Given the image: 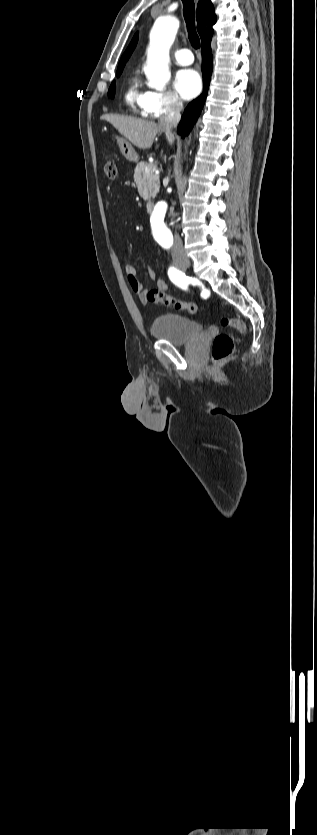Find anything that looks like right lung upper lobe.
Here are the masks:
<instances>
[{"instance_id":"1","label":"right lung upper lobe","mask_w":317,"mask_h":835,"mask_svg":"<svg viewBox=\"0 0 317 835\" xmlns=\"http://www.w3.org/2000/svg\"><path fill=\"white\" fill-rule=\"evenodd\" d=\"M196 19H197V29L199 35L201 37V41H205L206 39L210 38L213 34L212 26L216 22V15L214 12V6L210 0H200L197 6L196 12ZM138 41V33H136L129 44L128 48L126 49L125 53L121 57L119 65H122L127 62L130 55L132 54L136 44ZM118 65V66H119Z\"/></svg>"}]
</instances>
